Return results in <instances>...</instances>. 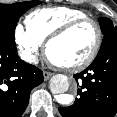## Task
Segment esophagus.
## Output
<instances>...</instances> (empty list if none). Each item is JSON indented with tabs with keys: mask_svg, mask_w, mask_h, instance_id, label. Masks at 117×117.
Returning <instances> with one entry per match:
<instances>
[{
	"mask_svg": "<svg viewBox=\"0 0 117 117\" xmlns=\"http://www.w3.org/2000/svg\"><path fill=\"white\" fill-rule=\"evenodd\" d=\"M43 76H44V80L47 81L52 76V73L48 71H44Z\"/></svg>",
	"mask_w": 117,
	"mask_h": 117,
	"instance_id": "esophagus-1",
	"label": "esophagus"
}]
</instances>
